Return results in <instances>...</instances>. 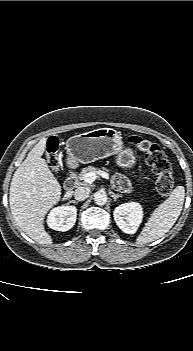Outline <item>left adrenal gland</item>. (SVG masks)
Masks as SVG:
<instances>
[{"label": "left adrenal gland", "instance_id": "1", "mask_svg": "<svg viewBox=\"0 0 193 351\" xmlns=\"http://www.w3.org/2000/svg\"><path fill=\"white\" fill-rule=\"evenodd\" d=\"M111 193V197L114 199V201H116V199H118L119 197H122L120 194H115L114 192H110Z\"/></svg>", "mask_w": 193, "mask_h": 351}]
</instances>
